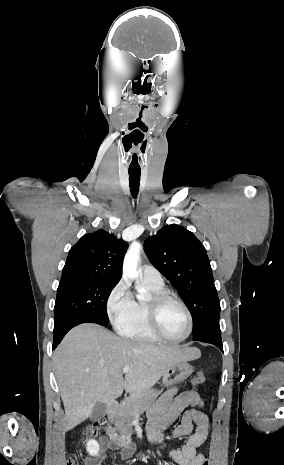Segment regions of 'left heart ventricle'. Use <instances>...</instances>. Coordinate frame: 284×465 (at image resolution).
I'll use <instances>...</instances> for the list:
<instances>
[{
	"label": "left heart ventricle",
	"mask_w": 284,
	"mask_h": 465,
	"mask_svg": "<svg viewBox=\"0 0 284 465\" xmlns=\"http://www.w3.org/2000/svg\"><path fill=\"white\" fill-rule=\"evenodd\" d=\"M186 312L177 304H167L161 314L160 328L164 336L178 340L185 336L188 330Z\"/></svg>",
	"instance_id": "obj_1"
}]
</instances>
